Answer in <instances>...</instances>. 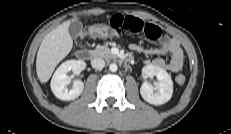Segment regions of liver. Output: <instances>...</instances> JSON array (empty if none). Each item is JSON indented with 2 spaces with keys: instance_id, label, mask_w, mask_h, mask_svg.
Masks as SVG:
<instances>
[{
  "instance_id": "liver-1",
  "label": "liver",
  "mask_w": 231,
  "mask_h": 134,
  "mask_svg": "<svg viewBox=\"0 0 231 134\" xmlns=\"http://www.w3.org/2000/svg\"><path fill=\"white\" fill-rule=\"evenodd\" d=\"M71 21H66L49 32L41 42L37 57L36 71L41 83H46L56 66L71 51L73 40L69 34Z\"/></svg>"
}]
</instances>
